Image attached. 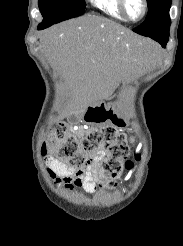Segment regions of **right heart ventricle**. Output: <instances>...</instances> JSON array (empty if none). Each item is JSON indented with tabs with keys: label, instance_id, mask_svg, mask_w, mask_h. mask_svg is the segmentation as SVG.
<instances>
[{
	"label": "right heart ventricle",
	"instance_id": "e07e8e85",
	"mask_svg": "<svg viewBox=\"0 0 183 246\" xmlns=\"http://www.w3.org/2000/svg\"><path fill=\"white\" fill-rule=\"evenodd\" d=\"M90 2L95 8L106 15L121 21H126V18L120 10L119 0H90Z\"/></svg>",
	"mask_w": 183,
	"mask_h": 246
}]
</instances>
